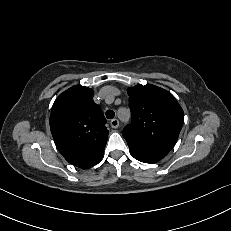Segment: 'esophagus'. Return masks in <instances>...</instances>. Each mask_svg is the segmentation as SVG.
I'll use <instances>...</instances> for the list:
<instances>
[{
    "mask_svg": "<svg viewBox=\"0 0 231 231\" xmlns=\"http://www.w3.org/2000/svg\"><path fill=\"white\" fill-rule=\"evenodd\" d=\"M110 125H111V127L114 128V129L118 128V126H119V121H118V119H113V120H111Z\"/></svg>",
    "mask_w": 231,
    "mask_h": 231,
    "instance_id": "obj_1",
    "label": "esophagus"
}]
</instances>
